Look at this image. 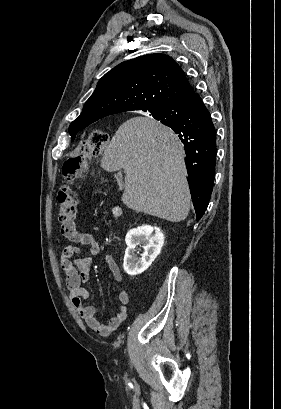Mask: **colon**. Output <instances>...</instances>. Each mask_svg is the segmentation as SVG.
Segmentation results:
<instances>
[{
	"instance_id": "obj_1",
	"label": "colon",
	"mask_w": 281,
	"mask_h": 409,
	"mask_svg": "<svg viewBox=\"0 0 281 409\" xmlns=\"http://www.w3.org/2000/svg\"><path fill=\"white\" fill-rule=\"evenodd\" d=\"M108 133L104 129H92L89 139L82 145L80 154L69 157L63 164L62 177L64 183L57 193L58 220L62 232H71L77 212V184L81 171L92 156L103 154L108 144Z\"/></svg>"
}]
</instances>
